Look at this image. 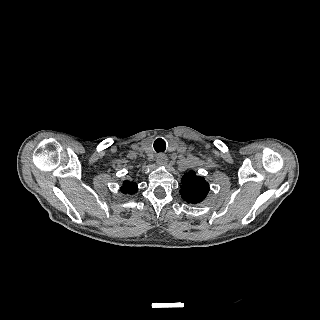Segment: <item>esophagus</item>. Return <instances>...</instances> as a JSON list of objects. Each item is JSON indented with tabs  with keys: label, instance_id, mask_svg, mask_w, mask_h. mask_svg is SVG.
<instances>
[{
	"label": "esophagus",
	"instance_id": "1",
	"mask_svg": "<svg viewBox=\"0 0 320 320\" xmlns=\"http://www.w3.org/2000/svg\"><path fill=\"white\" fill-rule=\"evenodd\" d=\"M167 162H168V157L165 154L161 153L157 156V164L159 166H164L167 164Z\"/></svg>",
	"mask_w": 320,
	"mask_h": 320
}]
</instances>
